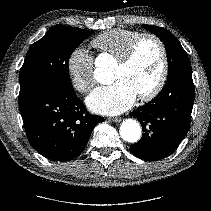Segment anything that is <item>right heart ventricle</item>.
<instances>
[{
    "instance_id": "e07e8e85",
    "label": "right heart ventricle",
    "mask_w": 211,
    "mask_h": 211,
    "mask_svg": "<svg viewBox=\"0 0 211 211\" xmlns=\"http://www.w3.org/2000/svg\"><path fill=\"white\" fill-rule=\"evenodd\" d=\"M140 34V32L133 30L112 29L98 35L91 44L100 53L118 60Z\"/></svg>"
}]
</instances>
